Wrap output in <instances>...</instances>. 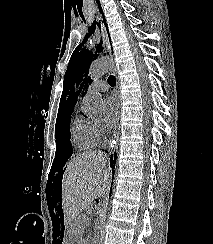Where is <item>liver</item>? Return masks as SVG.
<instances>
[{"label": "liver", "mask_w": 213, "mask_h": 244, "mask_svg": "<svg viewBox=\"0 0 213 244\" xmlns=\"http://www.w3.org/2000/svg\"><path fill=\"white\" fill-rule=\"evenodd\" d=\"M110 170L106 155L100 151L83 153L68 163L62 180L64 220L72 232L74 219L96 196L105 194Z\"/></svg>", "instance_id": "obj_1"}]
</instances>
